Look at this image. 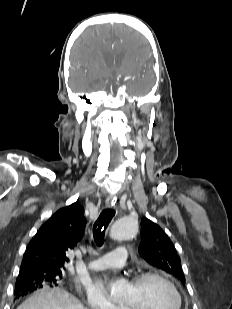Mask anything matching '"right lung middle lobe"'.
<instances>
[{
  "instance_id": "dd1d6c3e",
  "label": "right lung middle lobe",
  "mask_w": 232,
  "mask_h": 309,
  "mask_svg": "<svg viewBox=\"0 0 232 309\" xmlns=\"http://www.w3.org/2000/svg\"><path fill=\"white\" fill-rule=\"evenodd\" d=\"M62 273L63 270L20 271L15 287L28 284L31 281L40 287L58 286L62 280Z\"/></svg>"
}]
</instances>
